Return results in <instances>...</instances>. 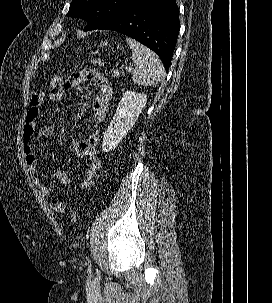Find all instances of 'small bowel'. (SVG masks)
I'll return each mask as SVG.
<instances>
[{
	"mask_svg": "<svg viewBox=\"0 0 272 303\" xmlns=\"http://www.w3.org/2000/svg\"><path fill=\"white\" fill-rule=\"evenodd\" d=\"M86 81H93L98 86L99 93L93 102L94 120L97 128L86 138L73 140L71 142L75 153L82 158L88 160V168L83 180L79 183L82 190L90 189L96 180L97 173L101 168V159L97 153L96 147L100 140V132L98 127L102 125L108 116L110 103L112 99V89L106 78L95 70H80L72 74V76L64 83V88L70 90ZM44 99V92L38 90L33 93L29 109L25 117L23 127V152L25 161L29 168L30 176L44 199H48L51 194V188L43 181L37 167V156L35 153V143L39 137H46L53 133L51 126L45 127L37 132V120ZM54 180L62 185L70 184V178L63 169H56L53 173ZM50 209L57 214H62L67 208V204L63 200L49 201Z\"/></svg>",
	"mask_w": 272,
	"mask_h": 303,
	"instance_id": "small-bowel-1",
	"label": "small bowel"
}]
</instances>
